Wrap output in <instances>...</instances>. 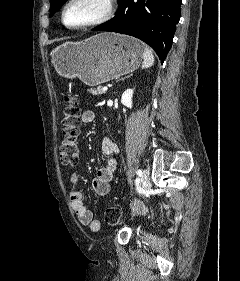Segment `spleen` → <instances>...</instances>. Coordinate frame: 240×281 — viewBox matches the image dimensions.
Instances as JSON below:
<instances>
[{
	"instance_id": "spleen-1",
	"label": "spleen",
	"mask_w": 240,
	"mask_h": 281,
	"mask_svg": "<svg viewBox=\"0 0 240 281\" xmlns=\"http://www.w3.org/2000/svg\"><path fill=\"white\" fill-rule=\"evenodd\" d=\"M143 58H144V61L142 64V69L149 68L154 64L155 58H154L153 52L147 46L144 49Z\"/></svg>"
}]
</instances>
